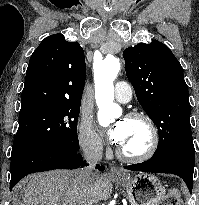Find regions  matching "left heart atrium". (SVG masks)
Segmentation results:
<instances>
[{
	"label": "left heart atrium",
	"instance_id": "1",
	"mask_svg": "<svg viewBox=\"0 0 199 205\" xmlns=\"http://www.w3.org/2000/svg\"><path fill=\"white\" fill-rule=\"evenodd\" d=\"M125 132L126 127L124 120H122L108 130L107 136L111 142L120 144L125 136Z\"/></svg>",
	"mask_w": 199,
	"mask_h": 205
}]
</instances>
